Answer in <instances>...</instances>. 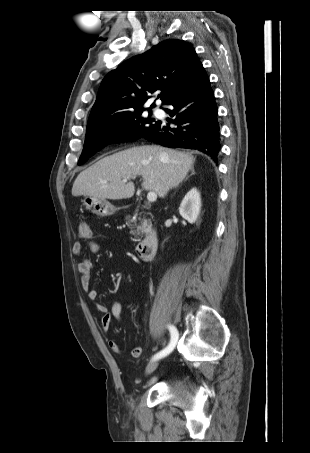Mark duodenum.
Wrapping results in <instances>:
<instances>
[{"mask_svg":"<svg viewBox=\"0 0 310 453\" xmlns=\"http://www.w3.org/2000/svg\"><path fill=\"white\" fill-rule=\"evenodd\" d=\"M157 245L158 234L155 230H150L143 240L138 243L136 253L141 260L149 261L156 254Z\"/></svg>","mask_w":310,"mask_h":453,"instance_id":"410a0bca","label":"duodenum"}]
</instances>
